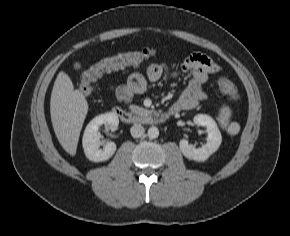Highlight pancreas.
<instances>
[{
	"mask_svg": "<svg viewBox=\"0 0 290 236\" xmlns=\"http://www.w3.org/2000/svg\"><path fill=\"white\" fill-rule=\"evenodd\" d=\"M130 109L133 113L138 114V115H142L145 113V110L137 105H131Z\"/></svg>",
	"mask_w": 290,
	"mask_h": 236,
	"instance_id": "1",
	"label": "pancreas"
}]
</instances>
